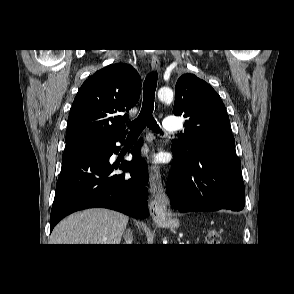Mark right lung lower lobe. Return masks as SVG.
<instances>
[{"label": "right lung lower lobe", "mask_w": 294, "mask_h": 294, "mask_svg": "<svg viewBox=\"0 0 294 294\" xmlns=\"http://www.w3.org/2000/svg\"><path fill=\"white\" fill-rule=\"evenodd\" d=\"M111 138L97 145L65 151L56 184L50 215V231L65 216L82 209L103 207L135 218H146L148 211V171L140 158L141 141L131 150L133 161L110 164L109 158L118 153L117 141ZM129 174H114L115 169Z\"/></svg>", "instance_id": "1"}]
</instances>
